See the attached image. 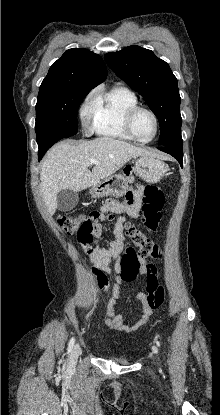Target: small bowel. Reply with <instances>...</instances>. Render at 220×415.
Masks as SVG:
<instances>
[{
    "instance_id": "small-bowel-1",
    "label": "small bowel",
    "mask_w": 220,
    "mask_h": 415,
    "mask_svg": "<svg viewBox=\"0 0 220 415\" xmlns=\"http://www.w3.org/2000/svg\"><path fill=\"white\" fill-rule=\"evenodd\" d=\"M141 191H129L125 196V201L120 204L104 203L100 206L97 221L90 224L91 239H87L85 234L80 231L77 233V240L79 244L88 250L90 259L93 263L92 272L95 276L98 285L104 290V297L106 299V318L105 325L113 330L122 331L128 334L134 333L145 325L153 313L159 308H154L149 305L147 301L146 292L139 294L138 298L141 303L142 314L140 318L132 325L125 324L122 314L115 311L116 300L119 296L120 285L122 280L119 276L121 271L120 255L124 248V233L123 225L126 220V215L138 218L141 206ZM108 212H115L121 214L114 226L115 239L110 241L107 247H100L98 238L102 235V222L105 220V214ZM141 270L147 272L148 264L145 260H141ZM106 274L115 275L113 284H109ZM98 300H101L99 297Z\"/></svg>"
}]
</instances>
